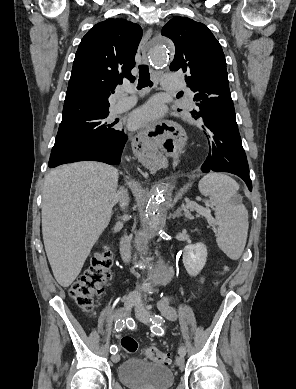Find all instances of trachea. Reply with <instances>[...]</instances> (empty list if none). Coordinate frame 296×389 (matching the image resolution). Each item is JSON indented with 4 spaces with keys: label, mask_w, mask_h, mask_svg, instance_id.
<instances>
[{
    "label": "trachea",
    "mask_w": 296,
    "mask_h": 389,
    "mask_svg": "<svg viewBox=\"0 0 296 389\" xmlns=\"http://www.w3.org/2000/svg\"><path fill=\"white\" fill-rule=\"evenodd\" d=\"M153 86V82L150 80L149 68L147 65H139V80L137 89H142L144 87Z\"/></svg>",
    "instance_id": "3493384b"
}]
</instances>
